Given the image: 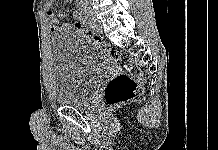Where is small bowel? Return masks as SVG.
<instances>
[{"label":"small bowel","mask_w":218,"mask_h":150,"mask_svg":"<svg viewBox=\"0 0 218 150\" xmlns=\"http://www.w3.org/2000/svg\"><path fill=\"white\" fill-rule=\"evenodd\" d=\"M53 0H46L45 2V9L47 12V19L50 23L49 29L52 33H56L58 31L62 30H70L72 29V25L69 23H64L62 25H59V18L65 17L64 13H58L51 9ZM78 12H75V17L78 19ZM81 21V20H80ZM83 25H86L85 23H81Z\"/></svg>","instance_id":"small-bowel-1"}]
</instances>
